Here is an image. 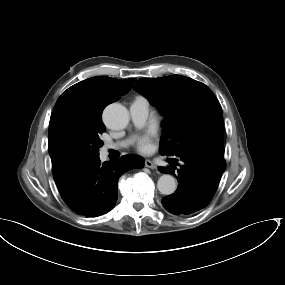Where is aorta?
Masks as SVG:
<instances>
[{
    "label": "aorta",
    "instance_id": "1",
    "mask_svg": "<svg viewBox=\"0 0 285 285\" xmlns=\"http://www.w3.org/2000/svg\"><path fill=\"white\" fill-rule=\"evenodd\" d=\"M103 119L109 128L117 130L126 127L129 121V114L123 105L113 103L105 108ZM157 188L161 194L171 195L175 192L177 183L172 175L164 174L158 179Z\"/></svg>",
    "mask_w": 285,
    "mask_h": 285
}]
</instances>
